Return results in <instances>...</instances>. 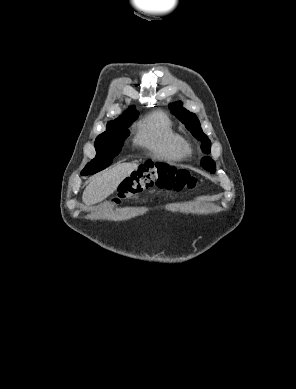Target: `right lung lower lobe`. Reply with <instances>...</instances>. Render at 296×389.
<instances>
[{"instance_id": "1", "label": "right lung lower lobe", "mask_w": 296, "mask_h": 389, "mask_svg": "<svg viewBox=\"0 0 296 389\" xmlns=\"http://www.w3.org/2000/svg\"><path fill=\"white\" fill-rule=\"evenodd\" d=\"M96 172H97L96 170H88V169L84 168V170L81 172V175L94 174Z\"/></svg>"}]
</instances>
